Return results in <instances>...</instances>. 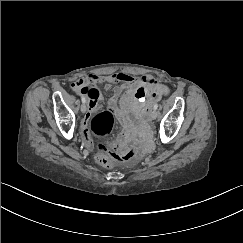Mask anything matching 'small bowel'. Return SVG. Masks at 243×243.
Wrapping results in <instances>:
<instances>
[{"label":"small bowel","instance_id":"c3829d8e","mask_svg":"<svg viewBox=\"0 0 243 243\" xmlns=\"http://www.w3.org/2000/svg\"><path fill=\"white\" fill-rule=\"evenodd\" d=\"M115 82L118 85L115 87L114 94L109 100V107L118 120L127 127H133L134 125L129 111H132L135 116L141 117L148 108L168 93V88L158 83L151 75L134 78L124 73L106 76L90 74L87 77L75 80L71 84L72 90L76 94H81L88 98L89 113L81 125L83 142L87 148H91L93 144L88 131L91 112L99 108L100 92L96 85L104 83L105 87L109 88ZM124 91L125 94L120 100Z\"/></svg>","mask_w":243,"mask_h":243}]
</instances>
